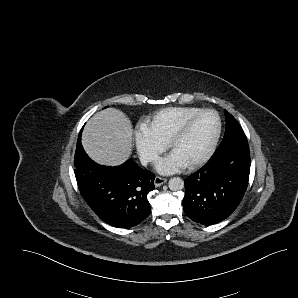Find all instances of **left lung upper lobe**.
Returning a JSON list of instances; mask_svg holds the SVG:
<instances>
[{
  "mask_svg": "<svg viewBox=\"0 0 298 298\" xmlns=\"http://www.w3.org/2000/svg\"><path fill=\"white\" fill-rule=\"evenodd\" d=\"M225 118H226V130L221 144L225 143L226 141L234 137L245 136V133L242 127L240 126V124L227 111H225Z\"/></svg>",
  "mask_w": 298,
  "mask_h": 298,
  "instance_id": "1",
  "label": "left lung upper lobe"
}]
</instances>
